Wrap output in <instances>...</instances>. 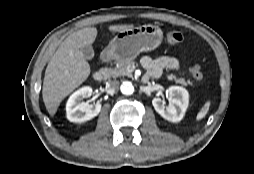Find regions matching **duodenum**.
I'll list each match as a JSON object with an SVG mask.
<instances>
[{
	"instance_id": "1",
	"label": "duodenum",
	"mask_w": 254,
	"mask_h": 174,
	"mask_svg": "<svg viewBox=\"0 0 254 174\" xmlns=\"http://www.w3.org/2000/svg\"><path fill=\"white\" fill-rule=\"evenodd\" d=\"M103 61H104V62L108 61V58H104ZM105 77H106V74H105V72H103V71H96V72H94V74H93V79H94L96 82H102V81L105 79ZM149 78H150V77H146V76H145V77H144V81L147 82Z\"/></svg>"
}]
</instances>
